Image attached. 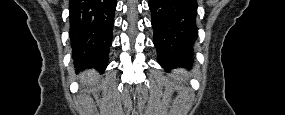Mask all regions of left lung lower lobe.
<instances>
[{
	"label": "left lung lower lobe",
	"instance_id": "0a47b994",
	"mask_svg": "<svg viewBox=\"0 0 285 115\" xmlns=\"http://www.w3.org/2000/svg\"><path fill=\"white\" fill-rule=\"evenodd\" d=\"M158 62L166 69L190 66L198 37L195 0H149Z\"/></svg>",
	"mask_w": 285,
	"mask_h": 115
}]
</instances>
